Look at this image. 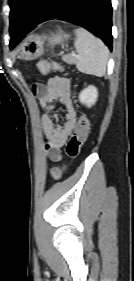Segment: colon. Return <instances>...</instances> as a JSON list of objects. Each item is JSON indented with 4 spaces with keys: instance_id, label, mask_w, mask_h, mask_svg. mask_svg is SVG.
<instances>
[{
    "instance_id": "5ec220e1",
    "label": "colon",
    "mask_w": 134,
    "mask_h": 281,
    "mask_svg": "<svg viewBox=\"0 0 134 281\" xmlns=\"http://www.w3.org/2000/svg\"><path fill=\"white\" fill-rule=\"evenodd\" d=\"M38 68L40 73L43 75L49 74L51 71H64L63 67L59 63L49 60L40 61ZM89 129V120L86 115L83 114L78 119L75 130L66 146V152L71 158H76L80 154L81 149L88 137ZM62 172L63 169L54 167L51 170V175L53 178L59 179L62 175Z\"/></svg>"
}]
</instances>
